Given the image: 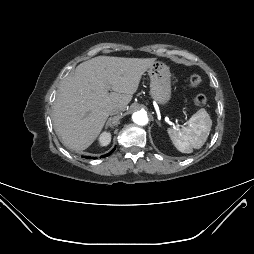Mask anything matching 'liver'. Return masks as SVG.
<instances>
[{
    "label": "liver",
    "instance_id": "obj_1",
    "mask_svg": "<svg viewBox=\"0 0 254 254\" xmlns=\"http://www.w3.org/2000/svg\"><path fill=\"white\" fill-rule=\"evenodd\" d=\"M155 61L98 56L79 64L61 82L53 105L54 128L62 143L75 151L87 149L102 131L110 110L127 108L142 75Z\"/></svg>",
    "mask_w": 254,
    "mask_h": 254
}]
</instances>
